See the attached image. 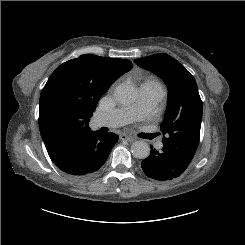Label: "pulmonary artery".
<instances>
[{
    "label": "pulmonary artery",
    "mask_w": 245,
    "mask_h": 245,
    "mask_svg": "<svg viewBox=\"0 0 245 245\" xmlns=\"http://www.w3.org/2000/svg\"><path fill=\"white\" fill-rule=\"evenodd\" d=\"M165 91L160 88L141 85L138 100L129 106L119 107L110 112H102L96 116L98 126L118 127L128 124L134 120L143 118L160 103L164 98ZM162 143H158V148H162Z\"/></svg>",
    "instance_id": "e3ab8cb5"
}]
</instances>
